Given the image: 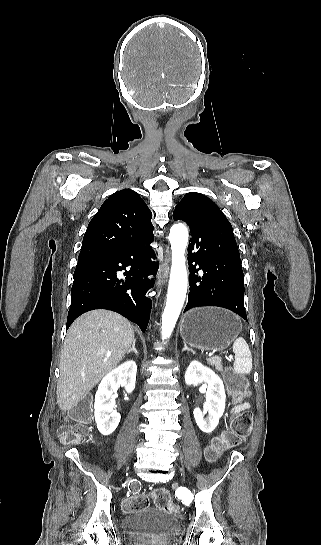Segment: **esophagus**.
Masks as SVG:
<instances>
[{
    "mask_svg": "<svg viewBox=\"0 0 321 545\" xmlns=\"http://www.w3.org/2000/svg\"><path fill=\"white\" fill-rule=\"evenodd\" d=\"M169 262H170V251H169V248H166L164 261L157 275V283H156L157 286L163 285V283L166 281L168 277V273H169Z\"/></svg>",
    "mask_w": 321,
    "mask_h": 545,
    "instance_id": "34e87169",
    "label": "esophagus"
}]
</instances>
